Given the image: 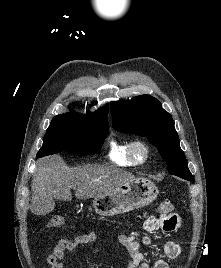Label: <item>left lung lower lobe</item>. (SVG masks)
<instances>
[{
  "mask_svg": "<svg viewBox=\"0 0 221 268\" xmlns=\"http://www.w3.org/2000/svg\"><path fill=\"white\" fill-rule=\"evenodd\" d=\"M188 180L193 182L194 181L193 176L191 178H188Z\"/></svg>",
  "mask_w": 221,
  "mask_h": 268,
  "instance_id": "1",
  "label": "left lung lower lobe"
}]
</instances>
